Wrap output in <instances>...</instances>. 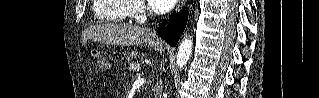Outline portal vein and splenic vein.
Listing matches in <instances>:
<instances>
[{"label":"portal vein and splenic vein","mask_w":319,"mask_h":98,"mask_svg":"<svg viewBox=\"0 0 319 98\" xmlns=\"http://www.w3.org/2000/svg\"><path fill=\"white\" fill-rule=\"evenodd\" d=\"M140 67L138 64H131L130 65V70L133 72L139 71Z\"/></svg>","instance_id":"portal-vein-and-splenic-vein-1"}]
</instances>
